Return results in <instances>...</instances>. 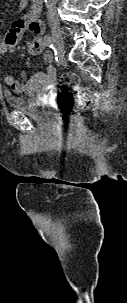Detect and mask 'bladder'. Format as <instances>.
I'll return each mask as SVG.
<instances>
[{
    "label": "bladder",
    "instance_id": "obj_1",
    "mask_svg": "<svg viewBox=\"0 0 127 303\" xmlns=\"http://www.w3.org/2000/svg\"><path fill=\"white\" fill-rule=\"evenodd\" d=\"M36 93H27L24 95H6L7 105L17 111H21L28 117L36 120H43L48 117L46 104Z\"/></svg>",
    "mask_w": 127,
    "mask_h": 303
}]
</instances>
